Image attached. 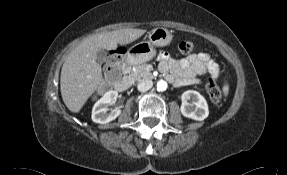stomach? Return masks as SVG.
Instances as JSON below:
<instances>
[{
    "mask_svg": "<svg viewBox=\"0 0 287 175\" xmlns=\"http://www.w3.org/2000/svg\"><path fill=\"white\" fill-rule=\"evenodd\" d=\"M173 36L170 30L157 27L148 33V40L139 42L126 53L125 59L131 65H137L151 60L156 55L155 46L163 47L168 45Z\"/></svg>",
    "mask_w": 287,
    "mask_h": 175,
    "instance_id": "0dacf381",
    "label": "stomach"
}]
</instances>
